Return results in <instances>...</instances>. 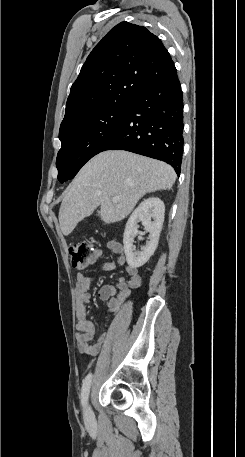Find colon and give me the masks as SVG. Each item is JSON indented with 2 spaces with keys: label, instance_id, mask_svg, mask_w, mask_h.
<instances>
[{
  "label": "colon",
  "instance_id": "5ec220e1",
  "mask_svg": "<svg viewBox=\"0 0 245 457\" xmlns=\"http://www.w3.org/2000/svg\"><path fill=\"white\" fill-rule=\"evenodd\" d=\"M71 264L75 268H83L94 256L95 251L88 242H77L69 246Z\"/></svg>",
  "mask_w": 245,
  "mask_h": 457
}]
</instances>
